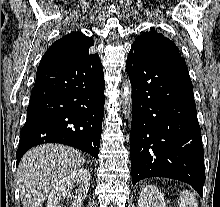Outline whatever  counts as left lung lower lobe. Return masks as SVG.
<instances>
[{"label": "left lung lower lobe", "mask_w": 220, "mask_h": 207, "mask_svg": "<svg viewBox=\"0 0 220 207\" xmlns=\"http://www.w3.org/2000/svg\"><path fill=\"white\" fill-rule=\"evenodd\" d=\"M126 71L132 85V184L148 177L172 178L202 197L204 150L184 59L131 47Z\"/></svg>", "instance_id": "0a47b994"}]
</instances>
